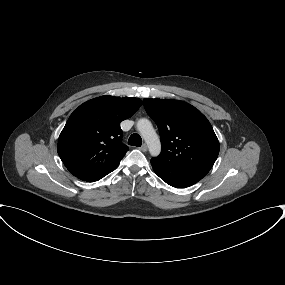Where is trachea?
I'll return each instance as SVG.
<instances>
[{
    "label": "trachea",
    "mask_w": 285,
    "mask_h": 285,
    "mask_svg": "<svg viewBox=\"0 0 285 285\" xmlns=\"http://www.w3.org/2000/svg\"><path fill=\"white\" fill-rule=\"evenodd\" d=\"M128 144L132 145V146L140 147L142 144V138L140 137L139 134L134 133L130 136V138L128 140Z\"/></svg>",
    "instance_id": "trachea-1"
}]
</instances>
